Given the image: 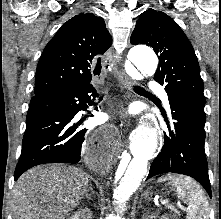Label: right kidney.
<instances>
[{"instance_id":"ca27d5eb","label":"right kidney","mask_w":221,"mask_h":219,"mask_svg":"<svg viewBox=\"0 0 221 219\" xmlns=\"http://www.w3.org/2000/svg\"><path fill=\"white\" fill-rule=\"evenodd\" d=\"M92 213L90 209L84 208L76 212L73 216H71L69 219H91Z\"/></svg>"}]
</instances>
